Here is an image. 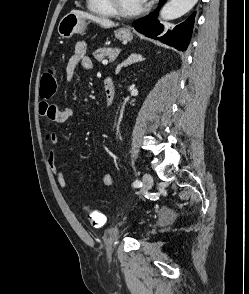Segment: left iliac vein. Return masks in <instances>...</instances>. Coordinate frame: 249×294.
<instances>
[{
    "label": "left iliac vein",
    "instance_id": "1",
    "mask_svg": "<svg viewBox=\"0 0 249 294\" xmlns=\"http://www.w3.org/2000/svg\"><path fill=\"white\" fill-rule=\"evenodd\" d=\"M143 188L141 190V195L149 192L153 186V177L149 173H145L143 176Z\"/></svg>",
    "mask_w": 249,
    "mask_h": 294
}]
</instances>
